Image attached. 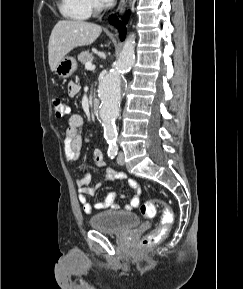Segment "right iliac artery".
Masks as SVG:
<instances>
[{
	"mask_svg": "<svg viewBox=\"0 0 243 289\" xmlns=\"http://www.w3.org/2000/svg\"><path fill=\"white\" fill-rule=\"evenodd\" d=\"M116 155H117V151H108V156L111 159H114Z\"/></svg>",
	"mask_w": 243,
	"mask_h": 289,
	"instance_id": "82829eb1",
	"label": "right iliac artery"
}]
</instances>
